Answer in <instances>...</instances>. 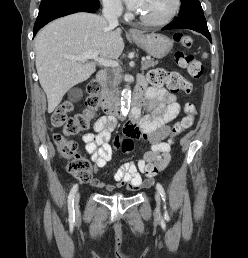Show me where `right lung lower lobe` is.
I'll return each instance as SVG.
<instances>
[{
  "instance_id": "1",
  "label": "right lung lower lobe",
  "mask_w": 248,
  "mask_h": 258,
  "mask_svg": "<svg viewBox=\"0 0 248 258\" xmlns=\"http://www.w3.org/2000/svg\"><path fill=\"white\" fill-rule=\"evenodd\" d=\"M100 6L98 0H76L71 2L59 3L42 10H39L37 20L34 24L33 37L39 29L48 22L76 12L94 13Z\"/></svg>"
}]
</instances>
